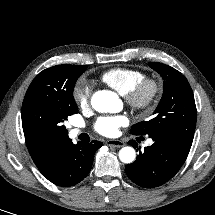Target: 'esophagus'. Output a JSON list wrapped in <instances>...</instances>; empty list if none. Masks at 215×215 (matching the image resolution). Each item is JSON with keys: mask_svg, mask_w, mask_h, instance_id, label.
Masks as SVG:
<instances>
[{"mask_svg": "<svg viewBox=\"0 0 215 215\" xmlns=\"http://www.w3.org/2000/svg\"><path fill=\"white\" fill-rule=\"evenodd\" d=\"M105 144L117 148L123 147L125 145V143L121 140H107Z\"/></svg>", "mask_w": 215, "mask_h": 215, "instance_id": "34e87169", "label": "esophagus"}]
</instances>
